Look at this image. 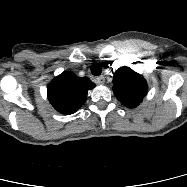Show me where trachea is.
I'll use <instances>...</instances> for the list:
<instances>
[{"mask_svg": "<svg viewBox=\"0 0 187 187\" xmlns=\"http://www.w3.org/2000/svg\"><path fill=\"white\" fill-rule=\"evenodd\" d=\"M91 73H92V75H94V76H99V75H101V73H102V68H101L100 65H98V64H93V65L91 66Z\"/></svg>", "mask_w": 187, "mask_h": 187, "instance_id": "trachea-1", "label": "trachea"}]
</instances>
